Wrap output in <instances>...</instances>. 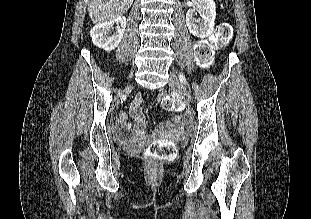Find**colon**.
<instances>
[{
    "instance_id": "1",
    "label": "colon",
    "mask_w": 311,
    "mask_h": 219,
    "mask_svg": "<svg viewBox=\"0 0 311 219\" xmlns=\"http://www.w3.org/2000/svg\"><path fill=\"white\" fill-rule=\"evenodd\" d=\"M232 38V28L227 22L219 23L214 33L198 41L195 45V57L203 64L210 63L213 56V50L224 48ZM161 105L170 111L176 110L178 103L167 95H161ZM124 132V130L122 131ZM176 153V145L168 139L154 140L146 149V156L153 161H163L172 158Z\"/></svg>"
}]
</instances>
